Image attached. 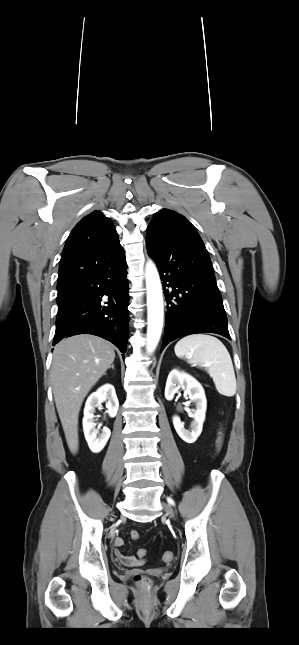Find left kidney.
<instances>
[{
	"label": "left kidney",
	"mask_w": 299,
	"mask_h": 645,
	"mask_svg": "<svg viewBox=\"0 0 299 645\" xmlns=\"http://www.w3.org/2000/svg\"><path fill=\"white\" fill-rule=\"evenodd\" d=\"M182 388L188 395L192 402L195 403V409L189 413V416L194 420L191 424V431L184 428V423L181 422L178 416L173 417V425L182 440L187 443H194L200 436L205 420V413L207 407L206 396L201 384L192 376L185 372H180L177 369L172 370L167 378L165 387V398L172 400L175 393Z\"/></svg>",
	"instance_id": "left-kidney-1"
}]
</instances>
